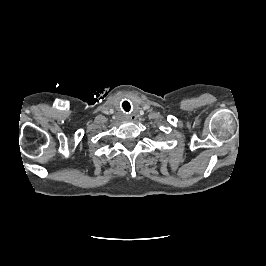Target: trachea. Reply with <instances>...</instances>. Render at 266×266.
<instances>
[{"label": "trachea", "mask_w": 266, "mask_h": 266, "mask_svg": "<svg viewBox=\"0 0 266 266\" xmlns=\"http://www.w3.org/2000/svg\"><path fill=\"white\" fill-rule=\"evenodd\" d=\"M122 106H123V108H124L125 111L128 112L130 110V104H129V102H127V101L123 102Z\"/></svg>", "instance_id": "3493384b"}]
</instances>
